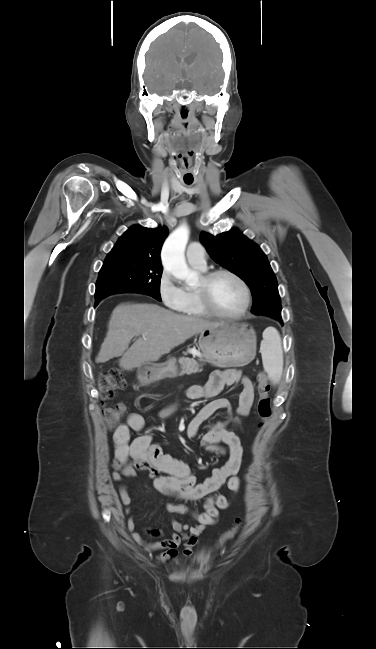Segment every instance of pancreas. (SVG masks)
<instances>
[{
    "label": "pancreas",
    "instance_id": "1",
    "mask_svg": "<svg viewBox=\"0 0 376 649\" xmlns=\"http://www.w3.org/2000/svg\"><path fill=\"white\" fill-rule=\"evenodd\" d=\"M181 372L180 375H191L193 373L201 372L200 365L193 359L183 358L181 361Z\"/></svg>",
    "mask_w": 376,
    "mask_h": 649
}]
</instances>
